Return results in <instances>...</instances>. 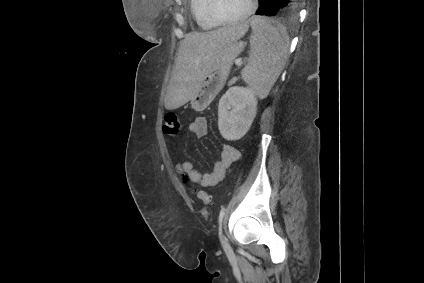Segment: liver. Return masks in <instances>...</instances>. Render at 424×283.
Wrapping results in <instances>:
<instances>
[{
  "label": "liver",
  "instance_id": "1",
  "mask_svg": "<svg viewBox=\"0 0 424 283\" xmlns=\"http://www.w3.org/2000/svg\"><path fill=\"white\" fill-rule=\"evenodd\" d=\"M248 28V22H242L205 33L187 34L179 46L164 99L165 108L177 109L191 100L224 48L242 38Z\"/></svg>",
  "mask_w": 424,
  "mask_h": 283
}]
</instances>
